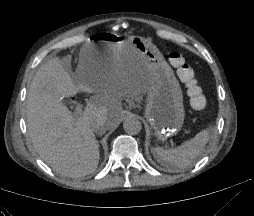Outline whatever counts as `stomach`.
<instances>
[{"label":"stomach","mask_w":254,"mask_h":216,"mask_svg":"<svg viewBox=\"0 0 254 216\" xmlns=\"http://www.w3.org/2000/svg\"><path fill=\"white\" fill-rule=\"evenodd\" d=\"M88 64L95 72L143 62L150 83L145 117L160 140L176 134L183 126L185 110L180 84L158 48L141 37L120 40L109 33L91 37Z\"/></svg>","instance_id":"obj_1"}]
</instances>
